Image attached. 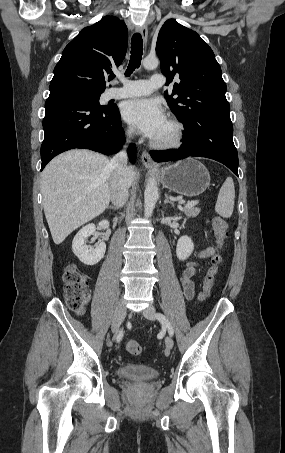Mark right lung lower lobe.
Segmentation results:
<instances>
[{
    "mask_svg": "<svg viewBox=\"0 0 285 453\" xmlns=\"http://www.w3.org/2000/svg\"><path fill=\"white\" fill-rule=\"evenodd\" d=\"M44 140L41 170L56 155L74 148H85L110 155L124 144L118 107L97 110L74 90H54L45 103ZM132 144L129 153L135 152Z\"/></svg>",
    "mask_w": 285,
    "mask_h": 453,
    "instance_id": "98d812e1",
    "label": "right lung lower lobe"
}]
</instances>
